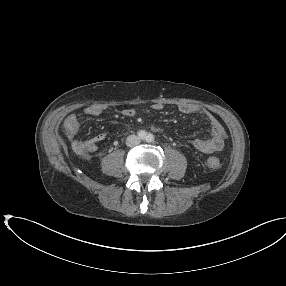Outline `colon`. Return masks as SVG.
Segmentation results:
<instances>
[{
	"label": "colon",
	"mask_w": 286,
	"mask_h": 286,
	"mask_svg": "<svg viewBox=\"0 0 286 286\" xmlns=\"http://www.w3.org/2000/svg\"><path fill=\"white\" fill-rule=\"evenodd\" d=\"M209 168L216 169L220 167V161L216 157H209L206 161Z\"/></svg>",
	"instance_id": "colon-1"
}]
</instances>
